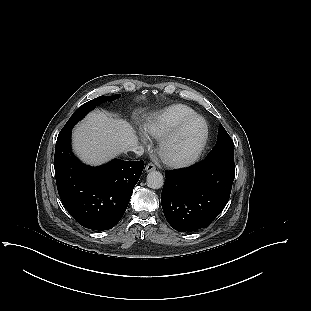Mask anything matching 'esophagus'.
I'll list each match as a JSON object with an SVG mask.
<instances>
[{
  "label": "esophagus",
  "instance_id": "34e87169",
  "mask_svg": "<svg viewBox=\"0 0 311 311\" xmlns=\"http://www.w3.org/2000/svg\"><path fill=\"white\" fill-rule=\"evenodd\" d=\"M156 169V167H155V165L153 164V163H148L147 165H146V167H145V171L146 172H150V171H153V170H155Z\"/></svg>",
  "mask_w": 311,
  "mask_h": 311
}]
</instances>
